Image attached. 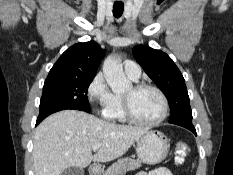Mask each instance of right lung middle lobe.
<instances>
[{
  "mask_svg": "<svg viewBox=\"0 0 233 175\" xmlns=\"http://www.w3.org/2000/svg\"><path fill=\"white\" fill-rule=\"evenodd\" d=\"M94 77L46 79L40 101L38 119L66 109L90 113L87 90Z\"/></svg>",
  "mask_w": 233,
  "mask_h": 175,
  "instance_id": "obj_1",
  "label": "right lung middle lobe"
}]
</instances>
